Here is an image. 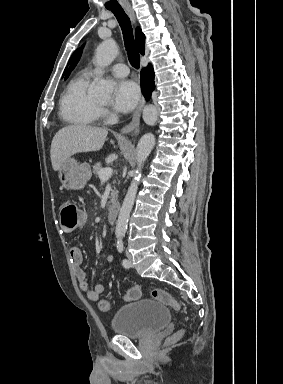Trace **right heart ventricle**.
Masks as SVG:
<instances>
[{
	"label": "right heart ventricle",
	"instance_id": "right-heart-ventricle-1",
	"mask_svg": "<svg viewBox=\"0 0 283 384\" xmlns=\"http://www.w3.org/2000/svg\"><path fill=\"white\" fill-rule=\"evenodd\" d=\"M90 75L79 72L66 84L60 100L59 115L71 128L84 129L94 126L100 118L101 111L87 93Z\"/></svg>",
	"mask_w": 283,
	"mask_h": 384
}]
</instances>
